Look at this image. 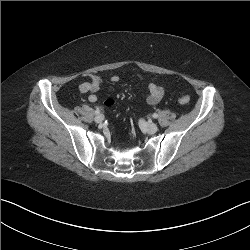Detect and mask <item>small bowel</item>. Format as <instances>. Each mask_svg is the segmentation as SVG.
<instances>
[{
  "instance_id": "1",
  "label": "small bowel",
  "mask_w": 250,
  "mask_h": 250,
  "mask_svg": "<svg viewBox=\"0 0 250 250\" xmlns=\"http://www.w3.org/2000/svg\"><path fill=\"white\" fill-rule=\"evenodd\" d=\"M139 82L148 89L149 94L147 96V103L149 105L158 104L165 95V88L161 85L156 84L153 80H145L140 74L136 75ZM120 81V77L118 75H113L110 78L111 84H116ZM100 82L98 78L91 77L89 81L84 82L80 89L82 92L89 93L88 100L90 102H96L98 97L96 95L99 90Z\"/></svg>"
}]
</instances>
